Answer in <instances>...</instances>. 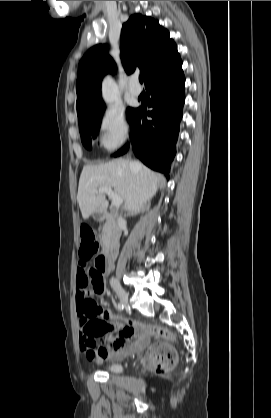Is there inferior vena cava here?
Returning a JSON list of instances; mask_svg holds the SVG:
<instances>
[{"label":"inferior vena cava","mask_w":271,"mask_h":418,"mask_svg":"<svg viewBox=\"0 0 271 418\" xmlns=\"http://www.w3.org/2000/svg\"><path fill=\"white\" fill-rule=\"evenodd\" d=\"M119 220H120V221H122L123 219H122V218H120ZM110 283H111V284H116L117 282H116V280H115L114 278H112V279L110 280Z\"/></svg>","instance_id":"inferior-vena-cava-1"}]
</instances>
